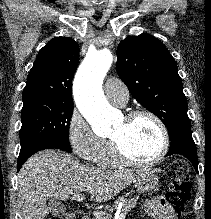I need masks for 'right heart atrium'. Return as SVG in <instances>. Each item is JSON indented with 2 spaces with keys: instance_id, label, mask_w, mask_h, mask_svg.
<instances>
[{
  "instance_id": "right-heart-atrium-1",
  "label": "right heart atrium",
  "mask_w": 211,
  "mask_h": 219,
  "mask_svg": "<svg viewBox=\"0 0 211 219\" xmlns=\"http://www.w3.org/2000/svg\"><path fill=\"white\" fill-rule=\"evenodd\" d=\"M68 142L81 159L95 162L107 141L95 134L88 121L74 110L67 126Z\"/></svg>"
}]
</instances>
